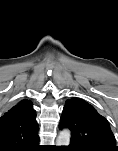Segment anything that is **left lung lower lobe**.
Returning a JSON list of instances; mask_svg holds the SVG:
<instances>
[{
    "label": "left lung lower lobe",
    "instance_id": "left-lung-lower-lobe-1",
    "mask_svg": "<svg viewBox=\"0 0 118 151\" xmlns=\"http://www.w3.org/2000/svg\"><path fill=\"white\" fill-rule=\"evenodd\" d=\"M67 149V151H75V148L72 146V145H70V146H68V147H66Z\"/></svg>",
    "mask_w": 118,
    "mask_h": 151
}]
</instances>
